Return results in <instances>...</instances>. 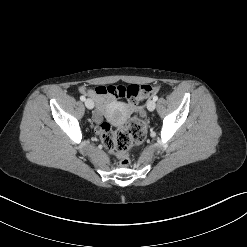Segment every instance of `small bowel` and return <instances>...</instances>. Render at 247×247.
I'll return each instance as SVG.
<instances>
[{"label":"small bowel","mask_w":247,"mask_h":247,"mask_svg":"<svg viewBox=\"0 0 247 247\" xmlns=\"http://www.w3.org/2000/svg\"><path fill=\"white\" fill-rule=\"evenodd\" d=\"M97 89H100V92H97ZM80 92L94 99L97 106V110L94 114V119L97 123H99L102 120L103 112L113 104L115 96L107 92L105 86H99L96 87L95 89H88L85 87H81ZM128 110L130 112H136L139 110V108L137 107V105L135 107H130L128 105Z\"/></svg>","instance_id":"obj_1"}]
</instances>
